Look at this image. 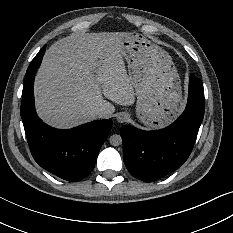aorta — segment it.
Here are the masks:
<instances>
[{
  "instance_id": "obj_1",
  "label": "aorta",
  "mask_w": 233,
  "mask_h": 233,
  "mask_svg": "<svg viewBox=\"0 0 233 233\" xmlns=\"http://www.w3.org/2000/svg\"><path fill=\"white\" fill-rule=\"evenodd\" d=\"M109 142L112 146H119L122 144V138L118 134H113L112 136H110Z\"/></svg>"
}]
</instances>
